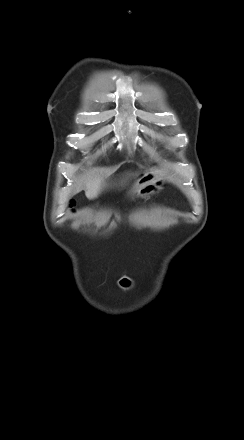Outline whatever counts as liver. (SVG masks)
I'll use <instances>...</instances> for the list:
<instances>
[{
  "label": "liver",
  "instance_id": "liver-1",
  "mask_svg": "<svg viewBox=\"0 0 244 440\" xmlns=\"http://www.w3.org/2000/svg\"><path fill=\"white\" fill-rule=\"evenodd\" d=\"M82 183L84 184V187H82ZM105 186L106 182L103 178L88 176L76 186L74 193H79L83 188L86 197L88 199H94L99 195Z\"/></svg>",
  "mask_w": 244,
  "mask_h": 440
}]
</instances>
